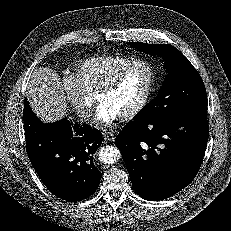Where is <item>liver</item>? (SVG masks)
<instances>
[{"label": "liver", "instance_id": "1", "mask_svg": "<svg viewBox=\"0 0 231 231\" xmlns=\"http://www.w3.org/2000/svg\"><path fill=\"white\" fill-rule=\"evenodd\" d=\"M27 99L43 122H56L66 116L68 107L58 74L49 68H38L27 86Z\"/></svg>", "mask_w": 231, "mask_h": 231}]
</instances>
